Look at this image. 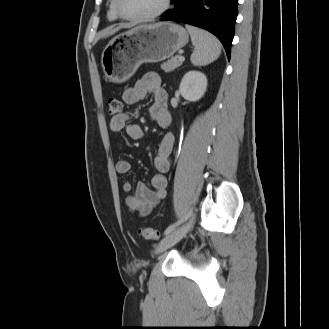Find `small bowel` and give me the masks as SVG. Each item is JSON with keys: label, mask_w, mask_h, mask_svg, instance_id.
<instances>
[{"label": "small bowel", "mask_w": 329, "mask_h": 329, "mask_svg": "<svg viewBox=\"0 0 329 329\" xmlns=\"http://www.w3.org/2000/svg\"><path fill=\"white\" fill-rule=\"evenodd\" d=\"M151 94L153 102L148 109V114L151 120L161 127L170 125L171 116L168 110V95L163 89L161 78L155 72H149L139 80L134 86L127 88L122 99L127 105H134L137 102L145 99ZM109 129L114 133L125 131L127 136L133 140H141L144 136L142 127L137 123L129 122V115L125 112L112 116L109 121ZM174 146V136L171 133H166L159 145L155 156L154 164L157 173L152 177V189L145 184H137L134 192L133 183L130 180H125L122 183V188L125 192L130 193L126 197V205L131 212H138L145 216L149 214L156 204H158L166 195V174L171 168V154ZM116 169L120 174L130 172L131 164L126 159H120L116 163Z\"/></svg>", "instance_id": "c3829d8e"}]
</instances>
